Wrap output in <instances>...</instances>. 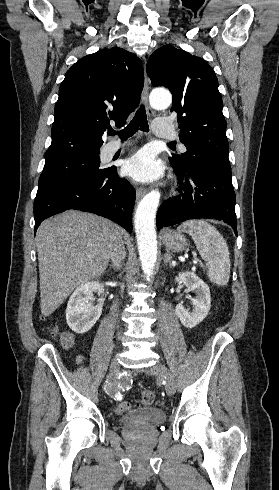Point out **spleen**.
Listing matches in <instances>:
<instances>
[{
	"instance_id": "obj_1",
	"label": "spleen",
	"mask_w": 279,
	"mask_h": 490,
	"mask_svg": "<svg viewBox=\"0 0 279 490\" xmlns=\"http://www.w3.org/2000/svg\"><path fill=\"white\" fill-rule=\"evenodd\" d=\"M177 230L187 232L194 240L202 260L207 262L210 282L217 286H227L230 278V254L218 230L203 220H189L178 226Z\"/></svg>"
}]
</instances>
